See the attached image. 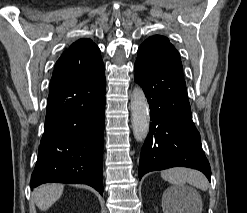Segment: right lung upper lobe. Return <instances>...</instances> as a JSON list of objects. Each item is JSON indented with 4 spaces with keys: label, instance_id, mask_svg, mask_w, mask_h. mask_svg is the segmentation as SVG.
<instances>
[{
    "label": "right lung upper lobe",
    "instance_id": "cb5924a9",
    "mask_svg": "<svg viewBox=\"0 0 247 213\" xmlns=\"http://www.w3.org/2000/svg\"><path fill=\"white\" fill-rule=\"evenodd\" d=\"M103 69L98 46L90 39H79L56 62L49 88Z\"/></svg>",
    "mask_w": 247,
    "mask_h": 213
}]
</instances>
